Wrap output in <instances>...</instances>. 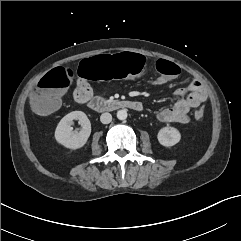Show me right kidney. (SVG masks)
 Returning <instances> with one entry per match:
<instances>
[{"label":"right kidney","mask_w":241,"mask_h":241,"mask_svg":"<svg viewBox=\"0 0 241 241\" xmlns=\"http://www.w3.org/2000/svg\"><path fill=\"white\" fill-rule=\"evenodd\" d=\"M73 120H78L82 129L73 132L71 127ZM91 134V123L82 111H73L64 116L55 130V139L60 144L71 150L83 147Z\"/></svg>","instance_id":"1"}]
</instances>
